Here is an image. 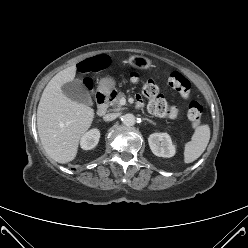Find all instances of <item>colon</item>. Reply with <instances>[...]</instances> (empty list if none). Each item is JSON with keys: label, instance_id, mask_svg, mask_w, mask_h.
I'll use <instances>...</instances> for the list:
<instances>
[{"label": "colon", "instance_id": "5ec220e1", "mask_svg": "<svg viewBox=\"0 0 248 248\" xmlns=\"http://www.w3.org/2000/svg\"><path fill=\"white\" fill-rule=\"evenodd\" d=\"M104 66L102 59H91L82 62L79 69L84 72L96 71ZM134 82L143 83L144 95L149 99V110L158 116H172L175 113L174 109H170L165 99L159 94L158 86L151 80L142 81L136 74L132 75ZM169 86L178 92L183 99L188 100L190 95V81L182 73L173 71L168 76ZM87 86L90 87V82L87 81ZM203 107L197 101H189L187 117L193 129H198L201 126Z\"/></svg>", "mask_w": 248, "mask_h": 248}]
</instances>
